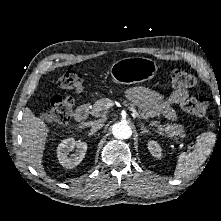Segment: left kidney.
Wrapping results in <instances>:
<instances>
[{
    "mask_svg": "<svg viewBox=\"0 0 221 221\" xmlns=\"http://www.w3.org/2000/svg\"><path fill=\"white\" fill-rule=\"evenodd\" d=\"M148 149L150 153L152 154V156L157 157V158L162 157V149L156 141H153V140L149 141Z\"/></svg>",
    "mask_w": 221,
    "mask_h": 221,
    "instance_id": "1",
    "label": "left kidney"
}]
</instances>
